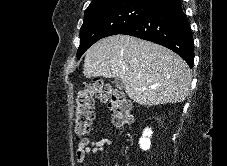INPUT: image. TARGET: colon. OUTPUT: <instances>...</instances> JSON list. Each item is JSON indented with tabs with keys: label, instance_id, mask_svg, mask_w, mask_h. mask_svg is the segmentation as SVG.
<instances>
[{
	"label": "colon",
	"instance_id": "colon-1",
	"mask_svg": "<svg viewBox=\"0 0 227 166\" xmlns=\"http://www.w3.org/2000/svg\"><path fill=\"white\" fill-rule=\"evenodd\" d=\"M94 99H99L109 106L115 127L121 129L131 123V101L101 79H95L86 83L75 95L74 132L77 136H85L90 130Z\"/></svg>",
	"mask_w": 227,
	"mask_h": 166
}]
</instances>
